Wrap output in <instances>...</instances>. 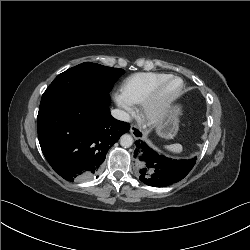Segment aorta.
I'll list each match as a JSON object with an SVG mask.
<instances>
[{
    "instance_id": "aorta-1",
    "label": "aorta",
    "mask_w": 250,
    "mask_h": 250,
    "mask_svg": "<svg viewBox=\"0 0 250 250\" xmlns=\"http://www.w3.org/2000/svg\"><path fill=\"white\" fill-rule=\"evenodd\" d=\"M132 144H133V138H132L131 135L124 134V135L121 136L120 145L122 147L128 148V147L132 146Z\"/></svg>"
}]
</instances>
